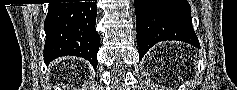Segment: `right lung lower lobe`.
Returning a JSON list of instances; mask_svg holds the SVG:
<instances>
[{
    "instance_id": "obj_1",
    "label": "right lung lower lobe",
    "mask_w": 237,
    "mask_h": 90,
    "mask_svg": "<svg viewBox=\"0 0 237 90\" xmlns=\"http://www.w3.org/2000/svg\"><path fill=\"white\" fill-rule=\"evenodd\" d=\"M96 13V2L49 4L44 23L45 63L72 55L87 59L96 69L100 46V36L95 30Z\"/></svg>"
}]
</instances>
